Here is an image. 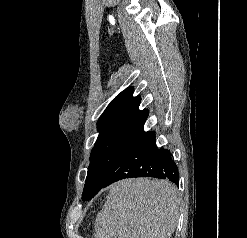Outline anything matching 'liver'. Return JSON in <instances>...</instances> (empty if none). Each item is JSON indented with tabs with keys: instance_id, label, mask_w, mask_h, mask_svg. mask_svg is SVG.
<instances>
[{
	"instance_id": "6515ba94",
	"label": "liver",
	"mask_w": 247,
	"mask_h": 238,
	"mask_svg": "<svg viewBox=\"0 0 247 238\" xmlns=\"http://www.w3.org/2000/svg\"><path fill=\"white\" fill-rule=\"evenodd\" d=\"M180 199L167 180L125 179L109 187L93 238H170Z\"/></svg>"
}]
</instances>
